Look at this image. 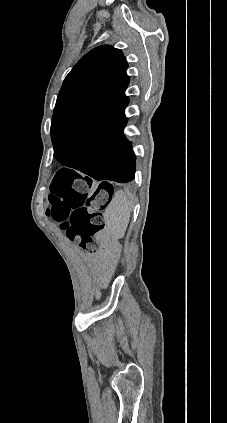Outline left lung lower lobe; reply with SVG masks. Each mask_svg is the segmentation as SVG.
Wrapping results in <instances>:
<instances>
[{
	"mask_svg": "<svg viewBox=\"0 0 227 423\" xmlns=\"http://www.w3.org/2000/svg\"><path fill=\"white\" fill-rule=\"evenodd\" d=\"M126 122L124 111L90 122L75 134L54 142V158L99 181L130 182L135 175L136 157L123 134ZM62 170L82 178L74 170Z\"/></svg>",
	"mask_w": 227,
	"mask_h": 423,
	"instance_id": "left-lung-lower-lobe-1",
	"label": "left lung lower lobe"
}]
</instances>
